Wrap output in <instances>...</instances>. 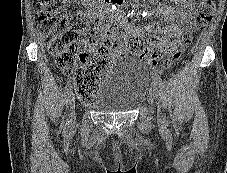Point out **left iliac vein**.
<instances>
[{
  "label": "left iliac vein",
  "instance_id": "4c4485c4",
  "mask_svg": "<svg viewBox=\"0 0 227 173\" xmlns=\"http://www.w3.org/2000/svg\"><path fill=\"white\" fill-rule=\"evenodd\" d=\"M151 94L153 95L154 98H158V88L155 82L151 83ZM158 104V111H157V115H158V121L159 123H163V118L161 115V111H160V107H159V102H157Z\"/></svg>",
  "mask_w": 227,
  "mask_h": 173
}]
</instances>
